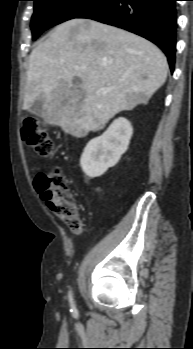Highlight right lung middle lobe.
<instances>
[{"instance_id": "obj_1", "label": "right lung middle lobe", "mask_w": 193, "mask_h": 349, "mask_svg": "<svg viewBox=\"0 0 193 349\" xmlns=\"http://www.w3.org/2000/svg\"><path fill=\"white\" fill-rule=\"evenodd\" d=\"M34 14L31 21L33 40L46 29L76 18L98 0H33Z\"/></svg>"}]
</instances>
